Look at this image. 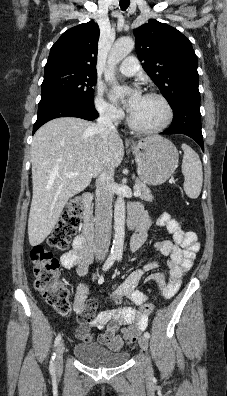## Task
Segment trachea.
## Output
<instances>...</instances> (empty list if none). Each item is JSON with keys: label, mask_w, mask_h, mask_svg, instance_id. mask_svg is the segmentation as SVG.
Masks as SVG:
<instances>
[{"label": "trachea", "mask_w": 227, "mask_h": 396, "mask_svg": "<svg viewBox=\"0 0 227 396\" xmlns=\"http://www.w3.org/2000/svg\"><path fill=\"white\" fill-rule=\"evenodd\" d=\"M130 0H120V8L124 11L129 7Z\"/></svg>", "instance_id": "3493384b"}]
</instances>
